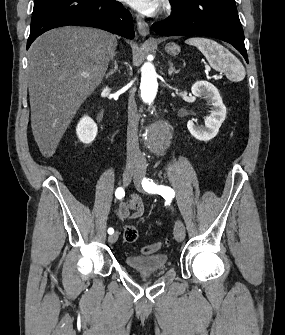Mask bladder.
<instances>
[{"label": "bladder", "instance_id": "31cf9c89", "mask_svg": "<svg viewBox=\"0 0 285 335\" xmlns=\"http://www.w3.org/2000/svg\"><path fill=\"white\" fill-rule=\"evenodd\" d=\"M165 258H171L166 251L147 255L127 253L126 265H133L132 273L159 272V265H165Z\"/></svg>", "mask_w": 285, "mask_h": 335}]
</instances>
